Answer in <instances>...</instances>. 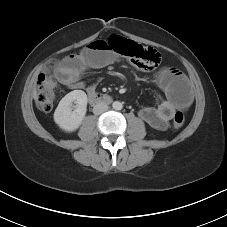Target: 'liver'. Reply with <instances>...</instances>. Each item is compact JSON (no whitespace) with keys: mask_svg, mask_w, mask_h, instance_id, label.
<instances>
[{"mask_svg":"<svg viewBox=\"0 0 227 227\" xmlns=\"http://www.w3.org/2000/svg\"><path fill=\"white\" fill-rule=\"evenodd\" d=\"M33 96H34V99L37 101V99H38V95H37V92H36V91H34Z\"/></svg>","mask_w":227,"mask_h":227,"instance_id":"1","label":"liver"}]
</instances>
